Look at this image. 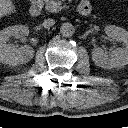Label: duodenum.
<instances>
[{
    "label": "duodenum",
    "instance_id": "duodenum-1",
    "mask_svg": "<svg viewBox=\"0 0 128 128\" xmlns=\"http://www.w3.org/2000/svg\"><path fill=\"white\" fill-rule=\"evenodd\" d=\"M78 13L81 15H88L91 12V7L90 4L86 1H82L78 5ZM30 14L33 17H38L41 12H42V1L41 0H31V5H30Z\"/></svg>",
    "mask_w": 128,
    "mask_h": 128
}]
</instances>
